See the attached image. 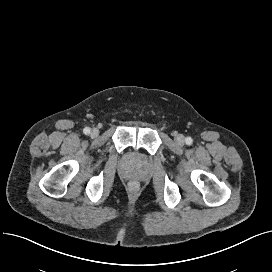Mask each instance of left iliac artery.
Instances as JSON below:
<instances>
[{"instance_id": "1", "label": "left iliac artery", "mask_w": 272, "mask_h": 272, "mask_svg": "<svg viewBox=\"0 0 272 272\" xmlns=\"http://www.w3.org/2000/svg\"><path fill=\"white\" fill-rule=\"evenodd\" d=\"M185 142H186L187 145H191L193 143V140H192L191 137H187Z\"/></svg>"}]
</instances>
